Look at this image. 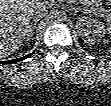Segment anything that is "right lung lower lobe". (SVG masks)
<instances>
[{"label": "right lung lower lobe", "mask_w": 111, "mask_h": 106, "mask_svg": "<svg viewBox=\"0 0 111 106\" xmlns=\"http://www.w3.org/2000/svg\"><path fill=\"white\" fill-rule=\"evenodd\" d=\"M31 55H32V53H31V54H28V55H26V56H24V57H21V58H17V59L9 60V61H0V64L15 63V62H18V61L24 60V59L28 58V57L31 56Z\"/></svg>", "instance_id": "right-lung-lower-lobe-1"}]
</instances>
